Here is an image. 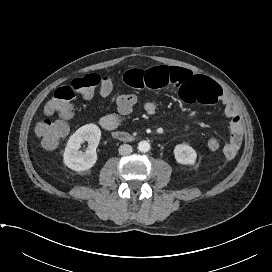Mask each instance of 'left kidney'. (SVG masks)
<instances>
[{
	"label": "left kidney",
	"mask_w": 272,
	"mask_h": 272,
	"mask_svg": "<svg viewBox=\"0 0 272 272\" xmlns=\"http://www.w3.org/2000/svg\"><path fill=\"white\" fill-rule=\"evenodd\" d=\"M174 156L178 163L194 165L197 158L196 151L187 144H178L174 148Z\"/></svg>",
	"instance_id": "1"
}]
</instances>
